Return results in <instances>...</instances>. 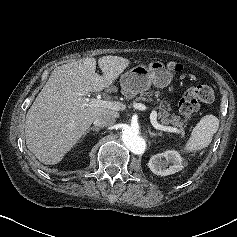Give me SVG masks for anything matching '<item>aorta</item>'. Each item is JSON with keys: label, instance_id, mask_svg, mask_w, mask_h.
Returning a JSON list of instances; mask_svg holds the SVG:
<instances>
[{"label": "aorta", "instance_id": "762f6f07", "mask_svg": "<svg viewBox=\"0 0 237 237\" xmlns=\"http://www.w3.org/2000/svg\"><path fill=\"white\" fill-rule=\"evenodd\" d=\"M122 140L133 153L140 154L145 149V140L140 135L138 127L126 126L122 130Z\"/></svg>", "mask_w": 237, "mask_h": 237}]
</instances>
